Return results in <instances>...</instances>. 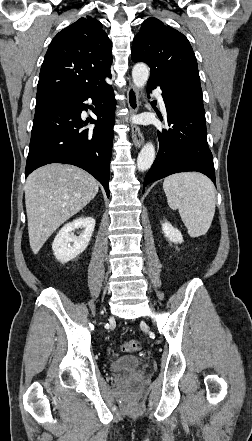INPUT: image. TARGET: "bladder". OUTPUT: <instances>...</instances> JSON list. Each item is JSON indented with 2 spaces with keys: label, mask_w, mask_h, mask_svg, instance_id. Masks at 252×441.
Here are the masks:
<instances>
[{
  "label": "bladder",
  "mask_w": 252,
  "mask_h": 441,
  "mask_svg": "<svg viewBox=\"0 0 252 441\" xmlns=\"http://www.w3.org/2000/svg\"><path fill=\"white\" fill-rule=\"evenodd\" d=\"M142 366V361L139 357L133 355L121 356L109 365V369L112 373H121L130 370H135Z\"/></svg>",
  "instance_id": "bladder-1"
}]
</instances>
